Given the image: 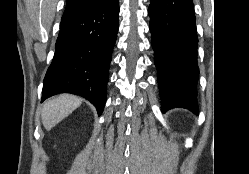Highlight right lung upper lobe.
Returning a JSON list of instances; mask_svg holds the SVG:
<instances>
[{"mask_svg": "<svg viewBox=\"0 0 249 174\" xmlns=\"http://www.w3.org/2000/svg\"><path fill=\"white\" fill-rule=\"evenodd\" d=\"M108 0H67L66 8L63 15L78 11L84 7L103 3Z\"/></svg>", "mask_w": 249, "mask_h": 174, "instance_id": "1", "label": "right lung upper lobe"}]
</instances>
